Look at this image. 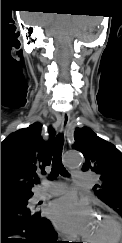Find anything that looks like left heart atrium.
Returning a JSON list of instances; mask_svg holds the SVG:
<instances>
[{"instance_id": "1", "label": "left heart atrium", "mask_w": 122, "mask_h": 243, "mask_svg": "<svg viewBox=\"0 0 122 243\" xmlns=\"http://www.w3.org/2000/svg\"><path fill=\"white\" fill-rule=\"evenodd\" d=\"M48 215L58 228L70 235L87 236L94 219L91 206L73 195H65L52 202Z\"/></svg>"}]
</instances>
